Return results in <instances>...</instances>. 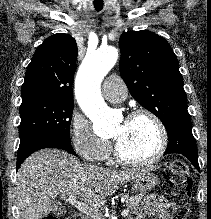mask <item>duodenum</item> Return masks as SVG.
<instances>
[{"instance_id": "obj_1", "label": "duodenum", "mask_w": 211, "mask_h": 219, "mask_svg": "<svg viewBox=\"0 0 211 219\" xmlns=\"http://www.w3.org/2000/svg\"><path fill=\"white\" fill-rule=\"evenodd\" d=\"M72 219H83V218L80 217V216L75 215V216H72Z\"/></svg>"}]
</instances>
